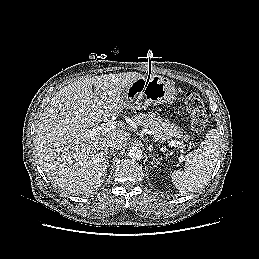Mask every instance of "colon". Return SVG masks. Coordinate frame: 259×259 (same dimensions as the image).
I'll use <instances>...</instances> for the list:
<instances>
[{
    "label": "colon",
    "mask_w": 259,
    "mask_h": 259,
    "mask_svg": "<svg viewBox=\"0 0 259 259\" xmlns=\"http://www.w3.org/2000/svg\"><path fill=\"white\" fill-rule=\"evenodd\" d=\"M182 99L191 115L192 130L196 133L202 132L207 123V114L202 98L196 93L186 92L182 95Z\"/></svg>",
    "instance_id": "colon-1"
}]
</instances>
